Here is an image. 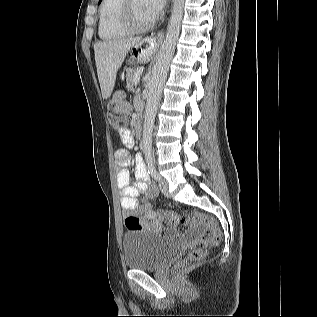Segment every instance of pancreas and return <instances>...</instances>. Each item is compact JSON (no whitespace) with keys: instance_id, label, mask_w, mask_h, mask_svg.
Returning <instances> with one entry per match:
<instances>
[{"instance_id":"cf45deb5","label":"pancreas","mask_w":317,"mask_h":317,"mask_svg":"<svg viewBox=\"0 0 317 317\" xmlns=\"http://www.w3.org/2000/svg\"><path fill=\"white\" fill-rule=\"evenodd\" d=\"M136 69L133 68V71L129 72L128 75H126V82H127V92L128 93H133L134 92V88L136 87L135 84V74H136Z\"/></svg>"}]
</instances>
